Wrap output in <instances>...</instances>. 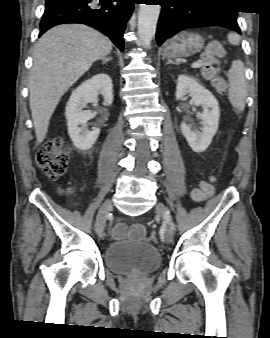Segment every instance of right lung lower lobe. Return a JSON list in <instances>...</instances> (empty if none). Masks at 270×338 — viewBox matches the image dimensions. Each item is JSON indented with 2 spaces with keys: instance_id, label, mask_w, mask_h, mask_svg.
<instances>
[{
  "instance_id": "obj_1",
  "label": "right lung lower lobe",
  "mask_w": 270,
  "mask_h": 338,
  "mask_svg": "<svg viewBox=\"0 0 270 338\" xmlns=\"http://www.w3.org/2000/svg\"><path fill=\"white\" fill-rule=\"evenodd\" d=\"M134 0H46L41 20V36L49 28L65 23L91 26L107 35L124 50L123 33Z\"/></svg>"
}]
</instances>
